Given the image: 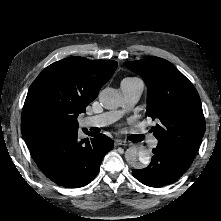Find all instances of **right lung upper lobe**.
I'll return each mask as SVG.
<instances>
[{
    "mask_svg": "<svg viewBox=\"0 0 221 221\" xmlns=\"http://www.w3.org/2000/svg\"><path fill=\"white\" fill-rule=\"evenodd\" d=\"M116 61L69 57L46 67L29 88L21 117L30 148L78 130L77 117L112 77Z\"/></svg>",
    "mask_w": 221,
    "mask_h": 221,
    "instance_id": "obj_1",
    "label": "right lung upper lobe"
}]
</instances>
